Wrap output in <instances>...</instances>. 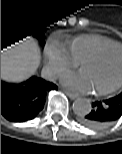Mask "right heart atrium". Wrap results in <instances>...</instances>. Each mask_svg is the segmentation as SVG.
<instances>
[{
  "label": "right heart atrium",
  "mask_w": 122,
  "mask_h": 154,
  "mask_svg": "<svg viewBox=\"0 0 122 154\" xmlns=\"http://www.w3.org/2000/svg\"><path fill=\"white\" fill-rule=\"evenodd\" d=\"M78 62L71 56L64 43L53 41L45 50V70L49 77H57L62 72L76 67Z\"/></svg>",
  "instance_id": "d8ad5b80"
}]
</instances>
